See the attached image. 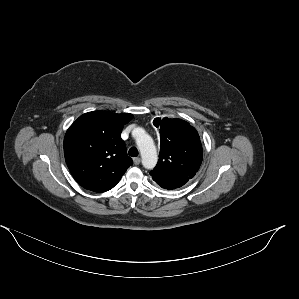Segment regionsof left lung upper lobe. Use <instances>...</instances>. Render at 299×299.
<instances>
[{"instance_id":"1","label":"left lung upper lobe","mask_w":299,"mask_h":299,"mask_svg":"<svg viewBox=\"0 0 299 299\" xmlns=\"http://www.w3.org/2000/svg\"><path fill=\"white\" fill-rule=\"evenodd\" d=\"M160 127V154L152 177L170 178L188 176L193 178L200 168L203 149L198 132L181 119H158Z\"/></svg>"}]
</instances>
